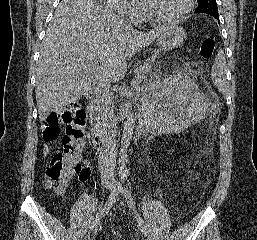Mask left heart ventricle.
I'll use <instances>...</instances> for the list:
<instances>
[{
    "label": "left heart ventricle",
    "instance_id": "left-heart-ventricle-1",
    "mask_svg": "<svg viewBox=\"0 0 257 240\" xmlns=\"http://www.w3.org/2000/svg\"><path fill=\"white\" fill-rule=\"evenodd\" d=\"M153 11L162 17L179 14L186 5V0H149Z\"/></svg>",
    "mask_w": 257,
    "mask_h": 240
}]
</instances>
